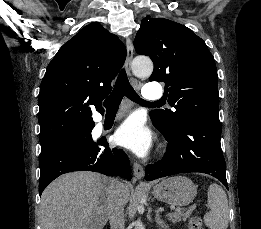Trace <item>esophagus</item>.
Listing matches in <instances>:
<instances>
[{
    "label": "esophagus",
    "instance_id": "esophagus-1",
    "mask_svg": "<svg viewBox=\"0 0 261 229\" xmlns=\"http://www.w3.org/2000/svg\"><path fill=\"white\" fill-rule=\"evenodd\" d=\"M126 49H127V56L125 60V69L129 76H131V63L133 60V44L131 39L126 40ZM133 173L137 180H139L140 186H147L146 182H143L142 179L144 177V168L138 162H134L133 164Z\"/></svg>",
    "mask_w": 261,
    "mask_h": 229
}]
</instances>
